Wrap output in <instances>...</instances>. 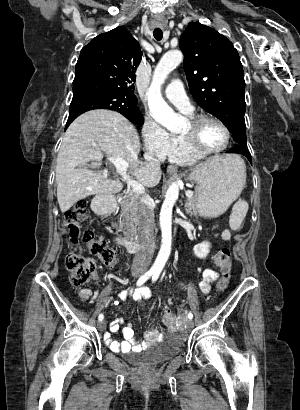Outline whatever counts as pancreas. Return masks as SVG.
<instances>
[{"mask_svg":"<svg viewBox=\"0 0 300 410\" xmlns=\"http://www.w3.org/2000/svg\"><path fill=\"white\" fill-rule=\"evenodd\" d=\"M139 204L140 199L135 194L125 196L120 201L122 219L119 220V226L117 228L118 232H122L125 236H129L130 232L135 230L138 225L139 213L141 210ZM186 213L190 215L199 214L196 200L194 198L187 200Z\"/></svg>","mask_w":300,"mask_h":410,"instance_id":"1","label":"pancreas"}]
</instances>
